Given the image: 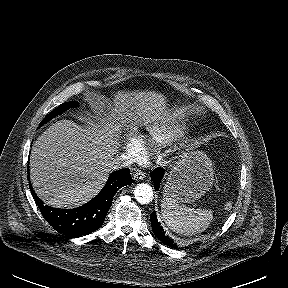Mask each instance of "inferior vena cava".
<instances>
[{
  "mask_svg": "<svg viewBox=\"0 0 288 288\" xmlns=\"http://www.w3.org/2000/svg\"><path fill=\"white\" fill-rule=\"evenodd\" d=\"M133 164L132 157L128 155H119L116 156L111 162H110V168L112 170H118L126 167H130Z\"/></svg>",
  "mask_w": 288,
  "mask_h": 288,
  "instance_id": "obj_1",
  "label": "inferior vena cava"
}]
</instances>
